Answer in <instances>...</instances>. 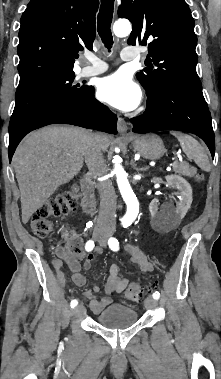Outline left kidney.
<instances>
[{
  "mask_svg": "<svg viewBox=\"0 0 221 379\" xmlns=\"http://www.w3.org/2000/svg\"><path fill=\"white\" fill-rule=\"evenodd\" d=\"M166 181L171 187L179 190L180 201L177 202L176 208L171 205H165L158 211V201L153 200L149 205V211L152 222L156 227L172 229L180 223L191 206L192 188L184 178L177 175L166 176Z\"/></svg>",
  "mask_w": 221,
  "mask_h": 379,
  "instance_id": "1",
  "label": "left kidney"
}]
</instances>
